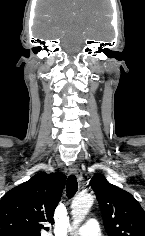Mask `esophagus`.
<instances>
[{"instance_id":"esophagus-1","label":"esophagus","mask_w":145,"mask_h":236,"mask_svg":"<svg viewBox=\"0 0 145 236\" xmlns=\"http://www.w3.org/2000/svg\"><path fill=\"white\" fill-rule=\"evenodd\" d=\"M69 171H70L71 174H74L79 181L82 180V172L76 165L71 164L69 166Z\"/></svg>"}]
</instances>
